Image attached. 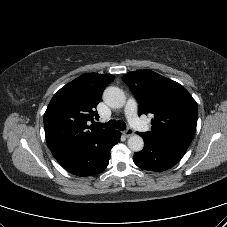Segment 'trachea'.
<instances>
[{
	"mask_svg": "<svg viewBox=\"0 0 227 227\" xmlns=\"http://www.w3.org/2000/svg\"><path fill=\"white\" fill-rule=\"evenodd\" d=\"M95 126L97 127H103L106 129H118V130H125L126 124L123 121H116V120H110L107 123H95Z\"/></svg>",
	"mask_w": 227,
	"mask_h": 227,
	"instance_id": "trachea-1",
	"label": "trachea"
}]
</instances>
